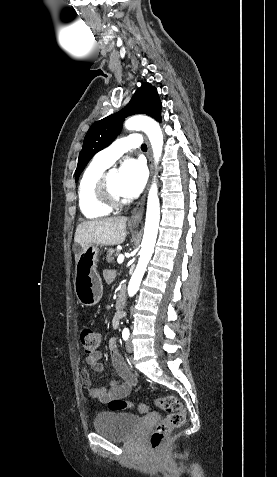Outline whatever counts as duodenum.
<instances>
[{
    "label": "duodenum",
    "mask_w": 277,
    "mask_h": 477,
    "mask_svg": "<svg viewBox=\"0 0 277 477\" xmlns=\"http://www.w3.org/2000/svg\"><path fill=\"white\" fill-rule=\"evenodd\" d=\"M125 306V296L123 293H120L117 296L116 302H115V307L117 311H122Z\"/></svg>",
    "instance_id": "410a0bca"
}]
</instances>
